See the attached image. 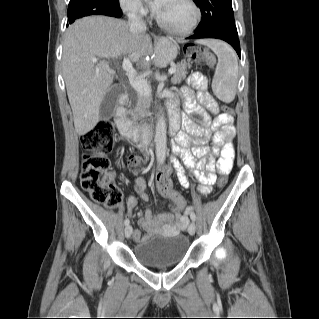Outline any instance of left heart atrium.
<instances>
[{
  "instance_id": "left-heart-atrium-1",
  "label": "left heart atrium",
  "mask_w": 319,
  "mask_h": 319,
  "mask_svg": "<svg viewBox=\"0 0 319 319\" xmlns=\"http://www.w3.org/2000/svg\"><path fill=\"white\" fill-rule=\"evenodd\" d=\"M165 0H148V3L150 5V7L156 12L158 13L164 3Z\"/></svg>"
}]
</instances>
